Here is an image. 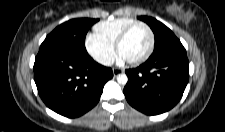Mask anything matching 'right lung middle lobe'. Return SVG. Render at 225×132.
I'll use <instances>...</instances> for the list:
<instances>
[{"instance_id": "right-lung-middle-lobe-1", "label": "right lung middle lobe", "mask_w": 225, "mask_h": 132, "mask_svg": "<svg viewBox=\"0 0 225 132\" xmlns=\"http://www.w3.org/2000/svg\"><path fill=\"white\" fill-rule=\"evenodd\" d=\"M98 19L79 18L69 20L56 27L44 40L40 48H58L62 50L87 53L85 37L89 28Z\"/></svg>"}]
</instances>
